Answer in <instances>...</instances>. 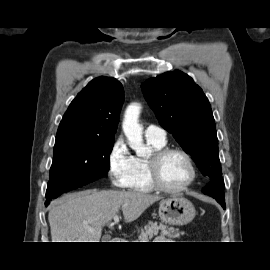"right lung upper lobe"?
Here are the masks:
<instances>
[{"mask_svg":"<svg viewBox=\"0 0 270 270\" xmlns=\"http://www.w3.org/2000/svg\"><path fill=\"white\" fill-rule=\"evenodd\" d=\"M123 100L119 81L104 76L95 78L71 102L56 136L114 139Z\"/></svg>","mask_w":270,"mask_h":270,"instance_id":"right-lung-upper-lobe-1","label":"right lung upper lobe"}]
</instances>
